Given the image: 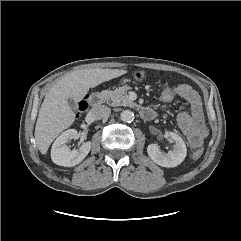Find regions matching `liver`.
<instances>
[{
  "instance_id": "6515ba94",
  "label": "liver",
  "mask_w": 241,
  "mask_h": 241,
  "mask_svg": "<svg viewBox=\"0 0 241 241\" xmlns=\"http://www.w3.org/2000/svg\"><path fill=\"white\" fill-rule=\"evenodd\" d=\"M127 71L122 69H82L63 76L46 94L39 110L35 140L39 151L46 154L54 139L69 128L75 114L67 99L80 101L90 88L117 78Z\"/></svg>"
}]
</instances>
